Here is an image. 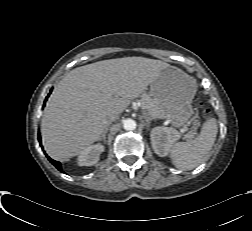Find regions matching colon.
I'll return each mask as SVG.
<instances>
[{"instance_id":"colon-1","label":"colon","mask_w":252,"mask_h":231,"mask_svg":"<svg viewBox=\"0 0 252 231\" xmlns=\"http://www.w3.org/2000/svg\"><path fill=\"white\" fill-rule=\"evenodd\" d=\"M198 108L201 110L202 116L207 118L210 116L211 112L202 103H198Z\"/></svg>"}]
</instances>
